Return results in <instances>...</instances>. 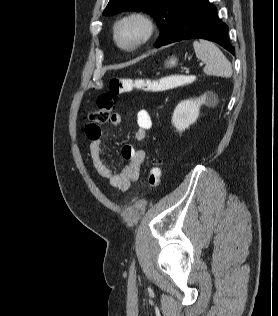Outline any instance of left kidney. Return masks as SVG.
Listing matches in <instances>:
<instances>
[{"instance_id": "5707ae66", "label": "left kidney", "mask_w": 278, "mask_h": 316, "mask_svg": "<svg viewBox=\"0 0 278 316\" xmlns=\"http://www.w3.org/2000/svg\"><path fill=\"white\" fill-rule=\"evenodd\" d=\"M208 93L197 99L181 101L175 108L172 116V124L177 131L182 132L191 124L195 123L199 117L200 106L210 102Z\"/></svg>"}]
</instances>
